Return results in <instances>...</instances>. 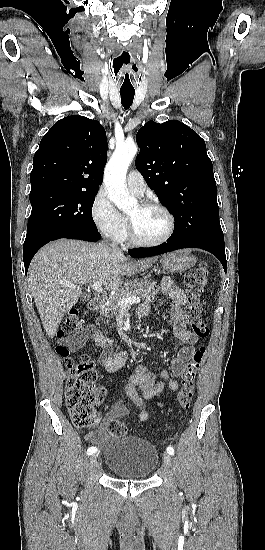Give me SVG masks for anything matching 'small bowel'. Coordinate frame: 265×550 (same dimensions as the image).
I'll use <instances>...</instances> for the list:
<instances>
[{"mask_svg": "<svg viewBox=\"0 0 265 550\" xmlns=\"http://www.w3.org/2000/svg\"><path fill=\"white\" fill-rule=\"evenodd\" d=\"M162 291L165 299L160 302L163 305L166 300H171L170 318L174 323L175 334L183 346L171 360L170 369L160 370L158 376L146 365L140 364L135 371L129 375L126 385L128 396L137 410V419L141 422L147 421L149 413L145 405V398H154L160 395L167 387L171 391H177L179 383L176 378L183 376L186 370V363L191 359L195 352L199 337L191 332L184 321L183 306L185 304V294L176 285L174 280L166 278L162 282ZM151 311L148 304H143L138 308L140 316H147ZM89 341L103 348V353L98 357V362L109 371L118 370L126 361L128 353L126 351H115L110 339L97 331L94 327H89L85 332L63 340V342L73 350H78L85 346ZM174 376L175 378L171 377ZM139 389L142 394L137 393ZM127 414V408L123 404H117L111 407L104 415L99 418V427L87 433L86 438L94 444H102L107 436L106 425L116 418Z\"/></svg>", "mask_w": 265, "mask_h": 550, "instance_id": "c3829d8e", "label": "small bowel"}]
</instances>
